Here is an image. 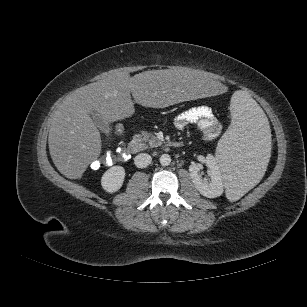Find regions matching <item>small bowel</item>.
I'll return each mask as SVG.
<instances>
[{
	"label": "small bowel",
	"instance_id": "obj_1",
	"mask_svg": "<svg viewBox=\"0 0 307 307\" xmlns=\"http://www.w3.org/2000/svg\"><path fill=\"white\" fill-rule=\"evenodd\" d=\"M189 124H196L203 132L205 139H214L222 132L221 123L214 116L212 109L205 105L190 108L179 114L174 120L176 129L180 131Z\"/></svg>",
	"mask_w": 307,
	"mask_h": 307
}]
</instances>
